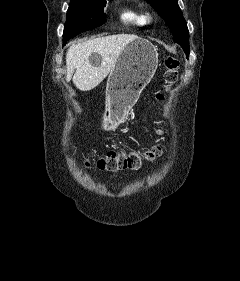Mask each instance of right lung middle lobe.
Listing matches in <instances>:
<instances>
[{"label":"right lung middle lobe","instance_id":"1","mask_svg":"<svg viewBox=\"0 0 240 281\" xmlns=\"http://www.w3.org/2000/svg\"><path fill=\"white\" fill-rule=\"evenodd\" d=\"M106 0H71L63 32V45L80 32L104 23Z\"/></svg>","mask_w":240,"mask_h":281}]
</instances>
